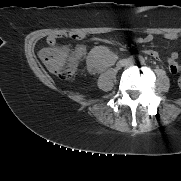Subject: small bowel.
Returning a JSON list of instances; mask_svg holds the SVG:
<instances>
[{
    "label": "small bowel",
    "mask_w": 181,
    "mask_h": 181,
    "mask_svg": "<svg viewBox=\"0 0 181 181\" xmlns=\"http://www.w3.org/2000/svg\"><path fill=\"white\" fill-rule=\"evenodd\" d=\"M179 36L180 35L175 32H168L163 35V37L167 40H176L179 38ZM59 37H63V38L69 37L76 40H82L85 38V35L74 34V33L63 34L61 36L49 35L47 37V44L49 46L55 47ZM153 39H154V36L152 34H146L144 36L136 38L135 42L138 44H147V43H151ZM73 52L77 55L78 58H80L84 54L85 48L83 46H78L74 49ZM144 53L155 60H159L160 58L158 52L154 50H145ZM177 58H178V54L174 52L170 55V57L167 60L168 65H169V70L172 74H178L181 71V65L178 63ZM89 69L91 71H95V66L89 65Z\"/></svg>",
    "instance_id": "c3829d8e"
}]
</instances>
